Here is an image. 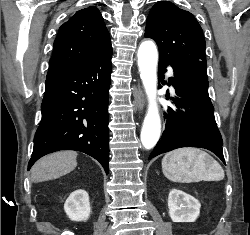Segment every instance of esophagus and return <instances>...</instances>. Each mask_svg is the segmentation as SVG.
Returning a JSON list of instances; mask_svg holds the SVG:
<instances>
[{
  "instance_id": "esophagus-1",
  "label": "esophagus",
  "mask_w": 250,
  "mask_h": 235,
  "mask_svg": "<svg viewBox=\"0 0 250 235\" xmlns=\"http://www.w3.org/2000/svg\"><path fill=\"white\" fill-rule=\"evenodd\" d=\"M134 104L138 111L143 110L145 102L143 91L140 87H138L134 92Z\"/></svg>"
}]
</instances>
